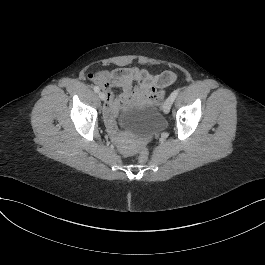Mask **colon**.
I'll return each mask as SVG.
<instances>
[{
	"mask_svg": "<svg viewBox=\"0 0 265 265\" xmlns=\"http://www.w3.org/2000/svg\"><path fill=\"white\" fill-rule=\"evenodd\" d=\"M148 158H149V152H148L147 148H142L139 152L138 162L140 164H144L147 162Z\"/></svg>",
	"mask_w": 265,
	"mask_h": 265,
	"instance_id": "colon-1",
	"label": "colon"
}]
</instances>
